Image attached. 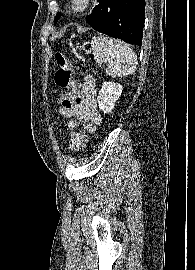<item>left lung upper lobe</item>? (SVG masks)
Listing matches in <instances>:
<instances>
[{"instance_id": "1", "label": "left lung upper lobe", "mask_w": 195, "mask_h": 270, "mask_svg": "<svg viewBox=\"0 0 195 270\" xmlns=\"http://www.w3.org/2000/svg\"><path fill=\"white\" fill-rule=\"evenodd\" d=\"M61 14L60 13H57L56 17H55V20H54V24L57 23V20L60 18Z\"/></svg>"}]
</instances>
